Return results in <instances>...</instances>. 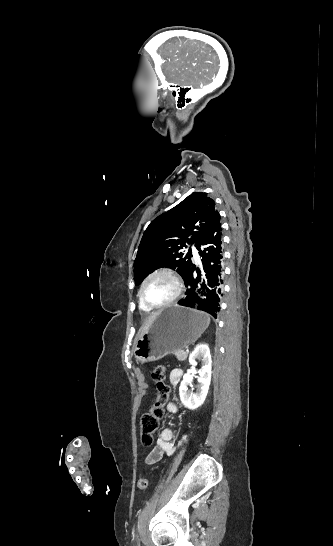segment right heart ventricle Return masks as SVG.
<instances>
[{"label":"right heart ventricle","instance_id":"obj_1","mask_svg":"<svg viewBox=\"0 0 333 546\" xmlns=\"http://www.w3.org/2000/svg\"><path fill=\"white\" fill-rule=\"evenodd\" d=\"M139 307L142 311H145V312H150L152 309L147 307L140 299L139 297Z\"/></svg>","mask_w":333,"mask_h":546}]
</instances>
